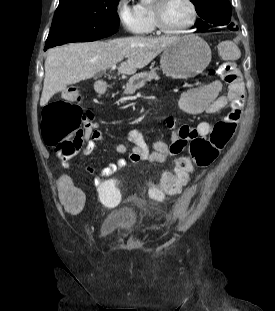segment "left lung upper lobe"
I'll return each mask as SVG.
<instances>
[{
	"mask_svg": "<svg viewBox=\"0 0 275 311\" xmlns=\"http://www.w3.org/2000/svg\"><path fill=\"white\" fill-rule=\"evenodd\" d=\"M197 8V14L202 18L195 23L198 30H206L209 26L228 25L230 30H237L231 20V5L229 0H190Z\"/></svg>",
	"mask_w": 275,
	"mask_h": 311,
	"instance_id": "obj_1",
	"label": "left lung upper lobe"
}]
</instances>
